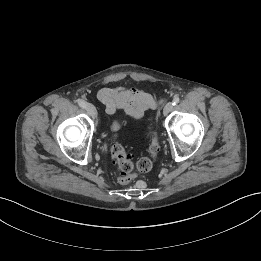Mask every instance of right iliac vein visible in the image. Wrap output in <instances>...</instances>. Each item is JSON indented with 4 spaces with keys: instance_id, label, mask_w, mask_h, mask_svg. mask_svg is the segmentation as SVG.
Here are the masks:
<instances>
[{
    "instance_id": "obj_1",
    "label": "right iliac vein",
    "mask_w": 261,
    "mask_h": 261,
    "mask_svg": "<svg viewBox=\"0 0 261 261\" xmlns=\"http://www.w3.org/2000/svg\"><path fill=\"white\" fill-rule=\"evenodd\" d=\"M85 109L92 118L97 117V110L94 105H92L91 103H86Z\"/></svg>"
}]
</instances>
